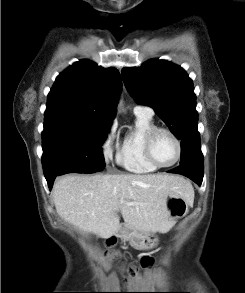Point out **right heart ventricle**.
Instances as JSON below:
<instances>
[{"label": "right heart ventricle", "instance_id": "1", "mask_svg": "<svg viewBox=\"0 0 245 293\" xmlns=\"http://www.w3.org/2000/svg\"><path fill=\"white\" fill-rule=\"evenodd\" d=\"M152 114L135 113L134 125L125 133L117 154L118 165L132 173H151L158 168L151 164L144 153L146 135L154 128Z\"/></svg>", "mask_w": 245, "mask_h": 293}]
</instances>
